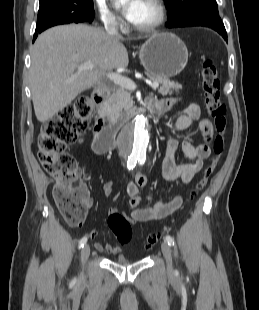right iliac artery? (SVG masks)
Wrapping results in <instances>:
<instances>
[{
  "instance_id": "82829eb1",
  "label": "right iliac artery",
  "mask_w": 259,
  "mask_h": 310,
  "mask_svg": "<svg viewBox=\"0 0 259 310\" xmlns=\"http://www.w3.org/2000/svg\"><path fill=\"white\" fill-rule=\"evenodd\" d=\"M136 163H137V160H128L127 168L129 170L133 169L135 167ZM86 242H87V237L86 236L82 237L81 240L79 241V245H78L79 248H83L84 245L86 244Z\"/></svg>"
}]
</instances>
